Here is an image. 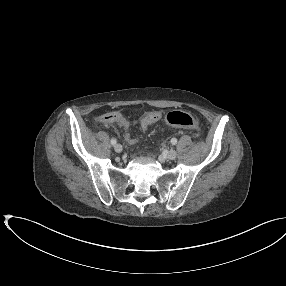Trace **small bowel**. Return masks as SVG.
Returning <instances> with one entry per match:
<instances>
[{
    "label": "small bowel",
    "mask_w": 286,
    "mask_h": 286,
    "mask_svg": "<svg viewBox=\"0 0 286 286\" xmlns=\"http://www.w3.org/2000/svg\"><path fill=\"white\" fill-rule=\"evenodd\" d=\"M161 112L150 111L147 112L141 119V125L146 124L147 127L158 122L161 119ZM101 124L104 125H116L122 131V135L127 142H134V139L130 136L129 127L130 124L126 119L118 112H108L101 115L98 119Z\"/></svg>",
    "instance_id": "1"
}]
</instances>
